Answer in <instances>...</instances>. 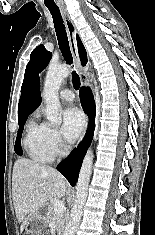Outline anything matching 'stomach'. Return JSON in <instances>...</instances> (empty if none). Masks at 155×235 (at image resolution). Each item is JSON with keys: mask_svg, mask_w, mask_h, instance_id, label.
I'll return each mask as SVG.
<instances>
[{"mask_svg": "<svg viewBox=\"0 0 155 235\" xmlns=\"http://www.w3.org/2000/svg\"><path fill=\"white\" fill-rule=\"evenodd\" d=\"M45 226V217L40 212H36L29 218L27 222L25 227L26 235H37L38 233L42 232Z\"/></svg>", "mask_w": 155, "mask_h": 235, "instance_id": "1", "label": "stomach"}]
</instances>
